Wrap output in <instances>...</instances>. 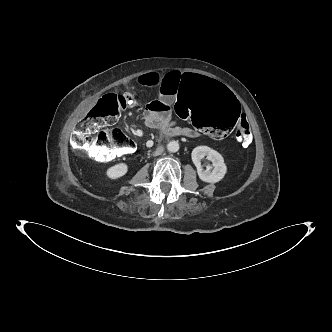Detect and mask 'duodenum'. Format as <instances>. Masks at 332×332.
<instances>
[{
  "label": "duodenum",
  "mask_w": 332,
  "mask_h": 332,
  "mask_svg": "<svg viewBox=\"0 0 332 332\" xmlns=\"http://www.w3.org/2000/svg\"><path fill=\"white\" fill-rule=\"evenodd\" d=\"M161 136L163 138L185 136V132L184 130L175 127H163L161 129Z\"/></svg>",
  "instance_id": "duodenum-1"
}]
</instances>
